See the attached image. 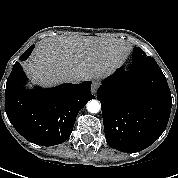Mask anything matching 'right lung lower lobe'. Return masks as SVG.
<instances>
[{
	"instance_id": "right-lung-lower-lobe-1",
	"label": "right lung lower lobe",
	"mask_w": 178,
	"mask_h": 178,
	"mask_svg": "<svg viewBox=\"0 0 178 178\" xmlns=\"http://www.w3.org/2000/svg\"><path fill=\"white\" fill-rule=\"evenodd\" d=\"M34 45L20 60H26ZM26 76L19 62L12 68L6 83L5 111L10 123L29 142L53 146L66 141L73 130L78 112L95 97L91 82L63 84L53 89L28 92Z\"/></svg>"
}]
</instances>
